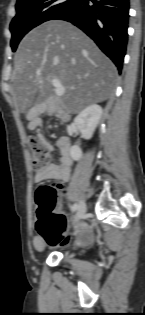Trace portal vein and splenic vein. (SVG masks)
<instances>
[{"label": "portal vein and splenic vein", "mask_w": 145, "mask_h": 315, "mask_svg": "<svg viewBox=\"0 0 145 315\" xmlns=\"http://www.w3.org/2000/svg\"><path fill=\"white\" fill-rule=\"evenodd\" d=\"M52 84L55 87V94L57 96H62L65 93V87L58 79H52Z\"/></svg>", "instance_id": "obj_1"}]
</instances>
